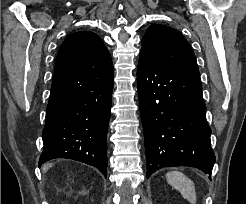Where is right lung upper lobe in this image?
Here are the masks:
<instances>
[{
  "label": "right lung upper lobe",
  "instance_id": "obj_1",
  "mask_svg": "<svg viewBox=\"0 0 246 204\" xmlns=\"http://www.w3.org/2000/svg\"><path fill=\"white\" fill-rule=\"evenodd\" d=\"M112 66L111 56L99 36L80 31L71 34L61 45L54 73Z\"/></svg>",
  "mask_w": 246,
  "mask_h": 204
}]
</instances>
